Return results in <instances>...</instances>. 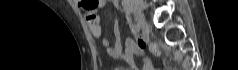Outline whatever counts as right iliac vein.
Segmentation results:
<instances>
[{
  "label": "right iliac vein",
  "instance_id": "obj_1",
  "mask_svg": "<svg viewBox=\"0 0 238 70\" xmlns=\"http://www.w3.org/2000/svg\"><path fill=\"white\" fill-rule=\"evenodd\" d=\"M135 20H136L137 25L139 26V28L145 29L147 27V22H146V19H145L143 14L137 12L135 14Z\"/></svg>",
  "mask_w": 238,
  "mask_h": 70
}]
</instances>
